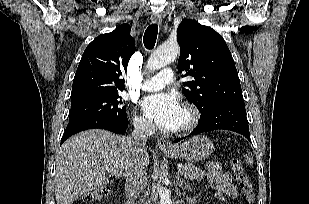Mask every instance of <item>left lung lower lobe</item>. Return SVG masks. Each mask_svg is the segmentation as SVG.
I'll use <instances>...</instances> for the list:
<instances>
[{
    "mask_svg": "<svg viewBox=\"0 0 309 204\" xmlns=\"http://www.w3.org/2000/svg\"><path fill=\"white\" fill-rule=\"evenodd\" d=\"M217 129L231 130L240 133L251 141L243 101L220 103L208 111L201 113L198 126L189 136ZM184 138L185 137L175 139V142Z\"/></svg>",
    "mask_w": 309,
    "mask_h": 204,
    "instance_id": "left-lung-lower-lobe-1",
    "label": "left lung lower lobe"
}]
</instances>
